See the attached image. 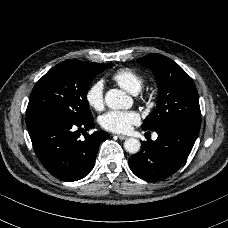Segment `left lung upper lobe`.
<instances>
[{
    "mask_svg": "<svg viewBox=\"0 0 228 228\" xmlns=\"http://www.w3.org/2000/svg\"><path fill=\"white\" fill-rule=\"evenodd\" d=\"M137 61L150 68L158 84V105L142 124L143 130L156 131L166 126L200 130L198 92L191 77L173 60L149 54Z\"/></svg>",
    "mask_w": 228,
    "mask_h": 228,
    "instance_id": "5c2ea615",
    "label": "left lung upper lobe"
}]
</instances>
